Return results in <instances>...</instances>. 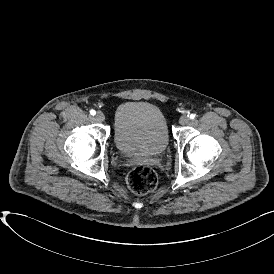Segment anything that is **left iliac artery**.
Returning <instances> with one entry per match:
<instances>
[{"mask_svg": "<svg viewBox=\"0 0 274 274\" xmlns=\"http://www.w3.org/2000/svg\"><path fill=\"white\" fill-rule=\"evenodd\" d=\"M194 118H195V114H191L190 119H194Z\"/></svg>", "mask_w": 274, "mask_h": 274, "instance_id": "obj_1", "label": "left iliac artery"}]
</instances>
